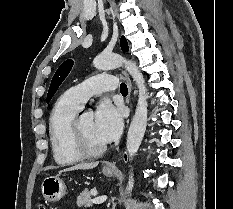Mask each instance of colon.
Wrapping results in <instances>:
<instances>
[{
  "label": "colon",
  "instance_id": "obj_1",
  "mask_svg": "<svg viewBox=\"0 0 233 209\" xmlns=\"http://www.w3.org/2000/svg\"><path fill=\"white\" fill-rule=\"evenodd\" d=\"M40 209H47L45 206L40 207Z\"/></svg>",
  "mask_w": 233,
  "mask_h": 209
}]
</instances>
